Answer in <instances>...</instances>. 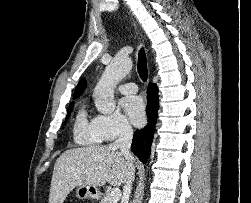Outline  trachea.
Instances as JSON below:
<instances>
[{
  "mask_svg": "<svg viewBox=\"0 0 251 203\" xmlns=\"http://www.w3.org/2000/svg\"><path fill=\"white\" fill-rule=\"evenodd\" d=\"M137 69L140 78L144 82H146L148 77V68H147V57L143 48H141L139 51Z\"/></svg>",
  "mask_w": 251,
  "mask_h": 203,
  "instance_id": "obj_1",
  "label": "trachea"
}]
</instances>
